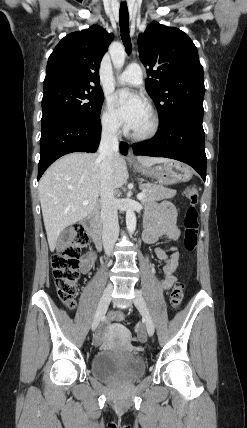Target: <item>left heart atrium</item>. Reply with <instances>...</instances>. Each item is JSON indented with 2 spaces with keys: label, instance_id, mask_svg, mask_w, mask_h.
<instances>
[{
  "label": "left heart atrium",
  "instance_id": "39dd6f15",
  "mask_svg": "<svg viewBox=\"0 0 247 428\" xmlns=\"http://www.w3.org/2000/svg\"><path fill=\"white\" fill-rule=\"evenodd\" d=\"M114 100L119 118L127 128L134 130L148 112L147 103L140 95L129 91L118 92Z\"/></svg>",
  "mask_w": 247,
  "mask_h": 428
}]
</instances>
